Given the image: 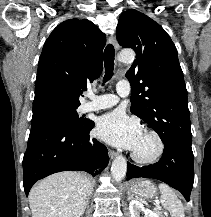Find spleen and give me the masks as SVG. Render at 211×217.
Instances as JSON below:
<instances>
[{
  "mask_svg": "<svg viewBox=\"0 0 211 217\" xmlns=\"http://www.w3.org/2000/svg\"><path fill=\"white\" fill-rule=\"evenodd\" d=\"M159 189L161 193V204L170 212L171 217H185L184 207L175 192L164 183L159 184Z\"/></svg>",
  "mask_w": 211,
  "mask_h": 217,
  "instance_id": "1",
  "label": "spleen"
}]
</instances>
